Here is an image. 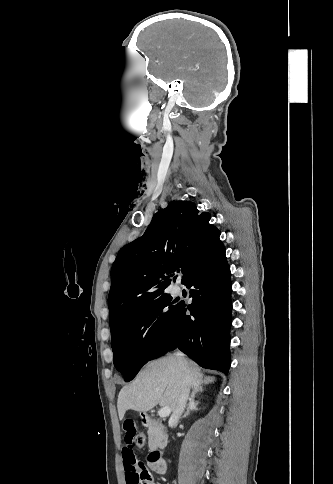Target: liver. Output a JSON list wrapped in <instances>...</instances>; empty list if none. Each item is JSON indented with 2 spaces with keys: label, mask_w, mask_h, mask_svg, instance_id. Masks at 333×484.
Listing matches in <instances>:
<instances>
[{
  "label": "liver",
  "mask_w": 333,
  "mask_h": 484,
  "mask_svg": "<svg viewBox=\"0 0 333 484\" xmlns=\"http://www.w3.org/2000/svg\"><path fill=\"white\" fill-rule=\"evenodd\" d=\"M191 375L189 388L202 390L203 384L214 382L215 378L204 376L198 366L188 361ZM182 392V369L175 356H166L151 361L138 373L136 378L124 386L117 401L119 419L122 420L127 410L146 413L156 405L178 406Z\"/></svg>",
  "instance_id": "6515ba94"
}]
</instances>
